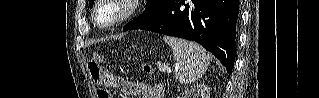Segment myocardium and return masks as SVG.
<instances>
[{"instance_id": "1", "label": "myocardium", "mask_w": 319, "mask_h": 98, "mask_svg": "<svg viewBox=\"0 0 319 98\" xmlns=\"http://www.w3.org/2000/svg\"><path fill=\"white\" fill-rule=\"evenodd\" d=\"M141 2L142 1L139 0H98L96 1L92 9V21L96 26L103 29L115 27L134 16L138 12ZM105 4L121 5L123 7V11L117 18H115L111 22L102 24L98 21L97 14L98 10Z\"/></svg>"}]
</instances>
